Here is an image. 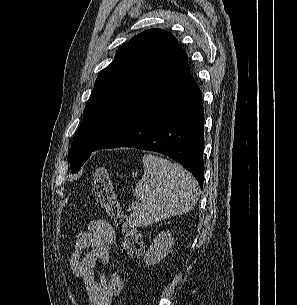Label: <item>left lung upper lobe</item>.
Instances as JSON below:
<instances>
[{
	"label": "left lung upper lobe",
	"mask_w": 297,
	"mask_h": 305,
	"mask_svg": "<svg viewBox=\"0 0 297 305\" xmlns=\"http://www.w3.org/2000/svg\"><path fill=\"white\" fill-rule=\"evenodd\" d=\"M189 72L186 52L166 30L149 29L133 37L96 79L68 153L71 172L79 171L148 88Z\"/></svg>",
	"instance_id": "obj_1"
}]
</instances>
